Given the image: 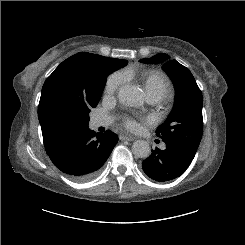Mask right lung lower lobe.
Segmentation results:
<instances>
[{
	"label": "right lung lower lobe",
	"mask_w": 245,
	"mask_h": 245,
	"mask_svg": "<svg viewBox=\"0 0 245 245\" xmlns=\"http://www.w3.org/2000/svg\"><path fill=\"white\" fill-rule=\"evenodd\" d=\"M118 141L111 131L101 134L88 127L77 131L47 154L54 165L77 181L94 178Z\"/></svg>",
	"instance_id": "98d812e1"
}]
</instances>
